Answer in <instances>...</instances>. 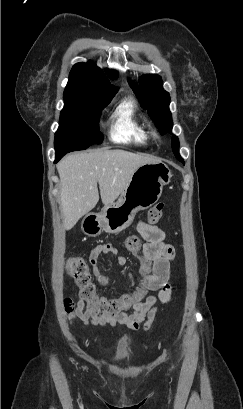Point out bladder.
Returning a JSON list of instances; mask_svg holds the SVG:
<instances>
[{"label": "bladder", "instance_id": "1", "mask_svg": "<svg viewBox=\"0 0 243 409\" xmlns=\"http://www.w3.org/2000/svg\"><path fill=\"white\" fill-rule=\"evenodd\" d=\"M117 361H120V359L118 358V359L114 360V362H113V363H115V362H117Z\"/></svg>", "mask_w": 243, "mask_h": 409}]
</instances>
